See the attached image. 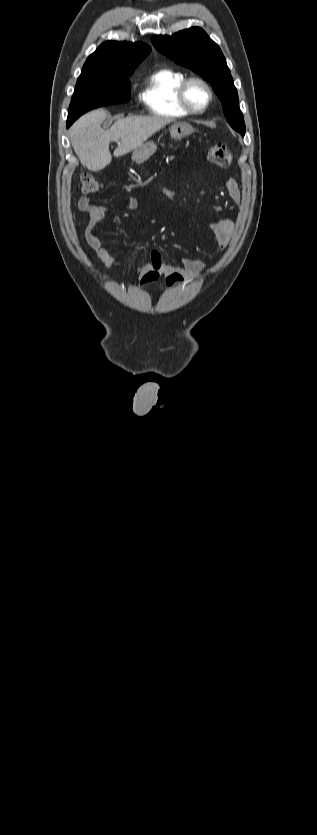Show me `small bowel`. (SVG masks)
Here are the masks:
<instances>
[{
    "label": "small bowel",
    "mask_w": 317,
    "mask_h": 835,
    "mask_svg": "<svg viewBox=\"0 0 317 835\" xmlns=\"http://www.w3.org/2000/svg\"><path fill=\"white\" fill-rule=\"evenodd\" d=\"M224 188L231 200L235 203L240 202L241 191L236 180L232 178L225 179ZM78 208L88 213L84 228V237L94 255L107 269L121 267V264L102 246L97 236L98 226L105 217V208L92 204L90 198L87 196L79 198ZM137 208L138 202L136 198L129 197L124 205V209L133 211ZM210 229L218 245L221 248H225L234 233L235 223L229 218H219L210 223ZM204 268L205 264L202 260L182 258L179 260V268L177 270L181 271L188 278H195L203 272ZM172 270L174 269L163 264L162 253L159 250H153L150 263L131 271L139 280L140 284L145 286L156 281L161 273Z\"/></svg>",
    "instance_id": "c3829d8e"
}]
</instances>
